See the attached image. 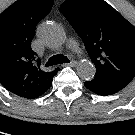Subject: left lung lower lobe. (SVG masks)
I'll use <instances>...</instances> for the list:
<instances>
[{
	"label": "left lung lower lobe",
	"mask_w": 135,
	"mask_h": 135,
	"mask_svg": "<svg viewBox=\"0 0 135 135\" xmlns=\"http://www.w3.org/2000/svg\"><path fill=\"white\" fill-rule=\"evenodd\" d=\"M84 85L92 92L98 94V95H101V96H107V95H112V94H115L117 93L118 89H114V88H111V87H108V86H105L103 84H100L96 81H86L84 82Z\"/></svg>",
	"instance_id": "obj_1"
}]
</instances>
